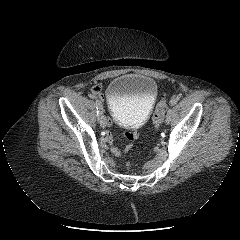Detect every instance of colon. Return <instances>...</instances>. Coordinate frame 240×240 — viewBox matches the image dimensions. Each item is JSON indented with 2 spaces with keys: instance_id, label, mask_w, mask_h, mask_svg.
<instances>
[{
  "instance_id": "colon-1",
  "label": "colon",
  "mask_w": 240,
  "mask_h": 240,
  "mask_svg": "<svg viewBox=\"0 0 240 240\" xmlns=\"http://www.w3.org/2000/svg\"><path fill=\"white\" fill-rule=\"evenodd\" d=\"M96 91H98V88H96ZM166 101H167L166 95H162L159 102L156 105L155 112L153 115V122L156 129H159L163 122L164 115L167 109Z\"/></svg>"
}]
</instances>
